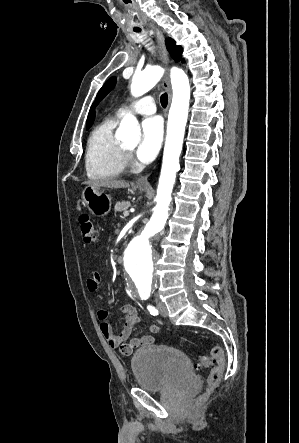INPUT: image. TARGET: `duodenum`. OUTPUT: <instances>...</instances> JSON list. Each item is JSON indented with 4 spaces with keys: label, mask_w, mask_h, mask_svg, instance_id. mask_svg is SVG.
I'll return each instance as SVG.
<instances>
[{
    "label": "duodenum",
    "mask_w": 299,
    "mask_h": 443,
    "mask_svg": "<svg viewBox=\"0 0 299 443\" xmlns=\"http://www.w3.org/2000/svg\"><path fill=\"white\" fill-rule=\"evenodd\" d=\"M116 261H117L118 263H121V262H122V258H121V256H117Z\"/></svg>",
    "instance_id": "410a0bca"
}]
</instances>
